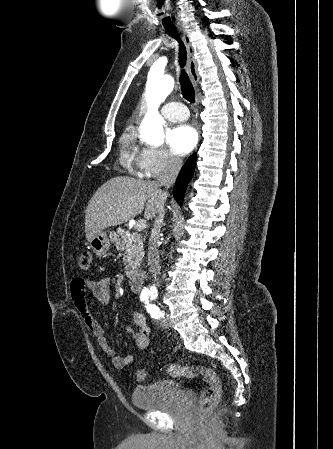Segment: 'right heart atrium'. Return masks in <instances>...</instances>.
<instances>
[{
  "label": "right heart atrium",
  "instance_id": "1",
  "mask_svg": "<svg viewBox=\"0 0 333 449\" xmlns=\"http://www.w3.org/2000/svg\"><path fill=\"white\" fill-rule=\"evenodd\" d=\"M134 162L144 178L174 173L181 167L180 158L165 147H143L135 154Z\"/></svg>",
  "mask_w": 333,
  "mask_h": 449
}]
</instances>
